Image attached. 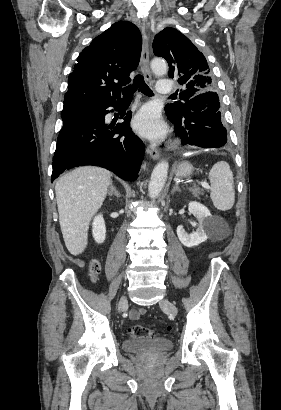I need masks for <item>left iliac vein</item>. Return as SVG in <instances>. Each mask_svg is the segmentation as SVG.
<instances>
[{
  "label": "left iliac vein",
  "instance_id": "left-iliac-vein-1",
  "mask_svg": "<svg viewBox=\"0 0 281 410\" xmlns=\"http://www.w3.org/2000/svg\"><path fill=\"white\" fill-rule=\"evenodd\" d=\"M159 304L162 308L166 309L173 316L177 315L176 306L172 302H170L168 299H162Z\"/></svg>",
  "mask_w": 281,
  "mask_h": 410
}]
</instances>
